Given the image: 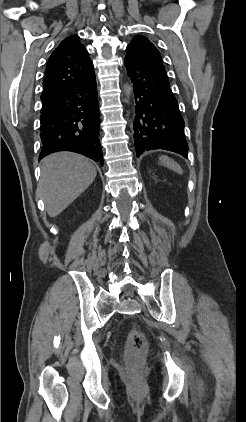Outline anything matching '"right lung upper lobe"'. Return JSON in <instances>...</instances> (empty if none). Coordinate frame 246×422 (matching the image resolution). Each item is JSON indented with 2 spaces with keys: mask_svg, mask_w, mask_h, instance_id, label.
<instances>
[{
  "mask_svg": "<svg viewBox=\"0 0 246 422\" xmlns=\"http://www.w3.org/2000/svg\"><path fill=\"white\" fill-rule=\"evenodd\" d=\"M93 63L79 36L64 39L51 54L43 79L41 101L47 100L93 77Z\"/></svg>",
  "mask_w": 246,
  "mask_h": 422,
  "instance_id": "obj_1",
  "label": "right lung upper lobe"
}]
</instances>
